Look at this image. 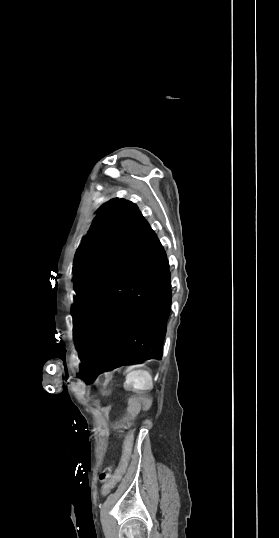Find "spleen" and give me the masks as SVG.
<instances>
[{
	"label": "spleen",
	"instance_id": "1",
	"mask_svg": "<svg viewBox=\"0 0 279 538\" xmlns=\"http://www.w3.org/2000/svg\"><path fill=\"white\" fill-rule=\"evenodd\" d=\"M127 383L129 387L133 388V393L150 394L152 392L150 388L152 387V378L149 372H144V370L132 371V374L128 375Z\"/></svg>",
	"mask_w": 279,
	"mask_h": 538
}]
</instances>
